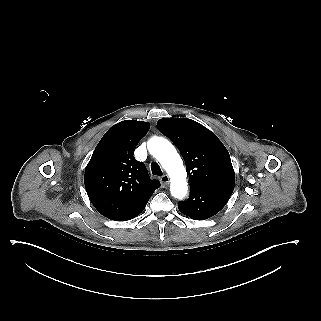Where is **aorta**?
Masks as SVG:
<instances>
[{
    "label": "aorta",
    "mask_w": 321,
    "mask_h": 321,
    "mask_svg": "<svg viewBox=\"0 0 321 321\" xmlns=\"http://www.w3.org/2000/svg\"><path fill=\"white\" fill-rule=\"evenodd\" d=\"M148 150L171 178L170 191L174 198L183 199L187 194L186 170L175 147L165 138L154 137L147 143Z\"/></svg>",
    "instance_id": "aorta-1"
}]
</instances>
